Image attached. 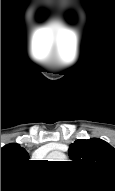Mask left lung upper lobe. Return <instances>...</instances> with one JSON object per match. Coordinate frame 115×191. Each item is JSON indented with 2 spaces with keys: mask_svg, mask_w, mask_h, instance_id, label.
<instances>
[{
  "mask_svg": "<svg viewBox=\"0 0 115 191\" xmlns=\"http://www.w3.org/2000/svg\"><path fill=\"white\" fill-rule=\"evenodd\" d=\"M69 156L75 164L115 179V149L104 140L78 139L70 144Z\"/></svg>",
  "mask_w": 115,
  "mask_h": 191,
  "instance_id": "obj_1",
  "label": "left lung upper lobe"
}]
</instances>
